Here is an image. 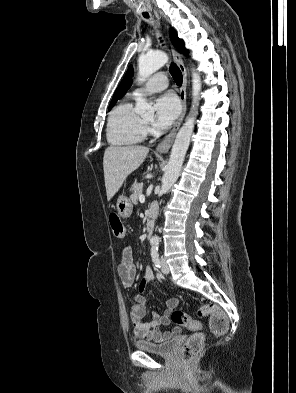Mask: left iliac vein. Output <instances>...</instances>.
<instances>
[{"label":"left iliac vein","mask_w":296,"mask_h":393,"mask_svg":"<svg viewBox=\"0 0 296 393\" xmlns=\"http://www.w3.org/2000/svg\"><path fill=\"white\" fill-rule=\"evenodd\" d=\"M161 271L164 274H168L170 272L169 266H168L165 258H161Z\"/></svg>","instance_id":"1"}]
</instances>
